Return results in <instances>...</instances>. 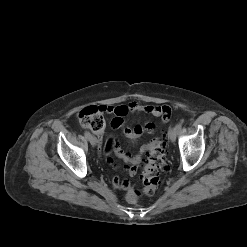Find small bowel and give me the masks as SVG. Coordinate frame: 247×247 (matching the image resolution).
Wrapping results in <instances>:
<instances>
[{"mask_svg": "<svg viewBox=\"0 0 247 247\" xmlns=\"http://www.w3.org/2000/svg\"><path fill=\"white\" fill-rule=\"evenodd\" d=\"M107 114L113 115L111 120V126L113 128H120L124 125V117L128 113H139L144 112L151 114L154 117L161 118L162 122H167L171 116V109L167 105H144L138 102H131L128 105L121 106H104ZM156 129L154 123L148 122L145 124L136 125L133 128L124 127V134L129 139H135L141 136L144 132L152 133ZM150 146V145H149ZM149 146H144L141 149V153L145 152ZM114 153L119 158L123 159L128 163L126 170L129 175L133 176L136 174L137 165L141 161V154L133 155L129 151L123 150L116 138H110L104 146V155L110 164H113L111 154ZM112 184L121 190H128L130 183L126 179H121L118 176L112 178Z\"/></svg>", "mask_w": 247, "mask_h": 247, "instance_id": "c3829d8e", "label": "small bowel"}]
</instances>
